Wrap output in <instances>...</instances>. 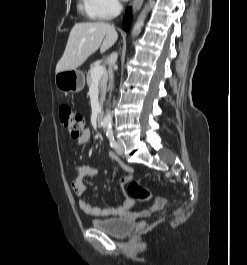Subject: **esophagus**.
Listing matches in <instances>:
<instances>
[{"mask_svg": "<svg viewBox=\"0 0 247 265\" xmlns=\"http://www.w3.org/2000/svg\"><path fill=\"white\" fill-rule=\"evenodd\" d=\"M143 3V0H135L133 3V9H137L141 6V4Z\"/></svg>", "mask_w": 247, "mask_h": 265, "instance_id": "1", "label": "esophagus"}]
</instances>
